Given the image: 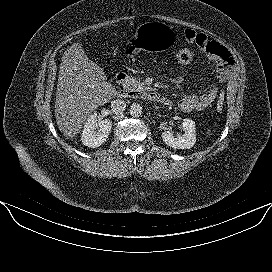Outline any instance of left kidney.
<instances>
[{
  "label": "left kidney",
  "mask_w": 272,
  "mask_h": 272,
  "mask_svg": "<svg viewBox=\"0 0 272 272\" xmlns=\"http://www.w3.org/2000/svg\"><path fill=\"white\" fill-rule=\"evenodd\" d=\"M184 135L174 137L171 131H164L162 139L166 145L177 149H190L196 142V128L195 122L191 119L185 118L182 123Z\"/></svg>",
  "instance_id": "1"
}]
</instances>
